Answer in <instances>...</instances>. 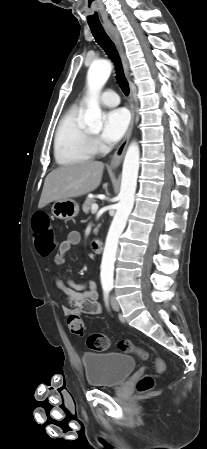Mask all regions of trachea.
Segmentation results:
<instances>
[{
	"instance_id": "1",
	"label": "trachea",
	"mask_w": 207,
	"mask_h": 449,
	"mask_svg": "<svg viewBox=\"0 0 207 449\" xmlns=\"http://www.w3.org/2000/svg\"><path fill=\"white\" fill-rule=\"evenodd\" d=\"M90 29L96 42L104 49L110 59L114 62L117 81L123 93L127 96L129 94V84L124 75L122 63L114 43L106 34L103 26H90Z\"/></svg>"
}]
</instances>
